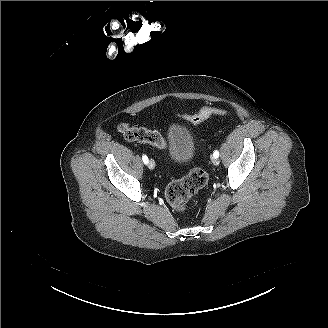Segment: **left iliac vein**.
<instances>
[{
	"label": "left iliac vein",
	"instance_id": "4c4485c4",
	"mask_svg": "<svg viewBox=\"0 0 328 328\" xmlns=\"http://www.w3.org/2000/svg\"><path fill=\"white\" fill-rule=\"evenodd\" d=\"M211 160H212V163H213L214 165H216V166L219 165V160H218V158H216V157L213 156Z\"/></svg>",
	"mask_w": 328,
	"mask_h": 328
}]
</instances>
